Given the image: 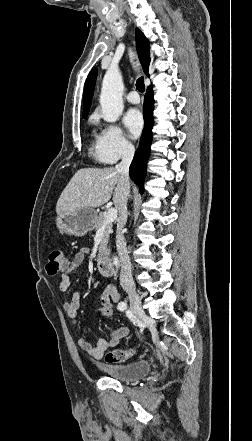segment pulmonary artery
<instances>
[{"label":"pulmonary artery","instance_id":"pulmonary-artery-1","mask_svg":"<svg viewBox=\"0 0 252 441\" xmlns=\"http://www.w3.org/2000/svg\"><path fill=\"white\" fill-rule=\"evenodd\" d=\"M126 99L131 104H138L140 102L139 95L135 91L128 93Z\"/></svg>","mask_w":252,"mask_h":441}]
</instances>
